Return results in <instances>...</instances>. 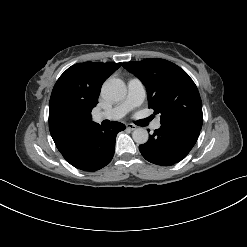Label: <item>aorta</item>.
<instances>
[{
	"label": "aorta",
	"mask_w": 247,
	"mask_h": 247,
	"mask_svg": "<svg viewBox=\"0 0 247 247\" xmlns=\"http://www.w3.org/2000/svg\"><path fill=\"white\" fill-rule=\"evenodd\" d=\"M126 94L127 88L121 79L109 78L102 86V95L109 101H121L125 98ZM132 138L137 144H144L148 141L149 135L146 129L137 128L133 131Z\"/></svg>",
	"instance_id": "obj_1"
}]
</instances>
